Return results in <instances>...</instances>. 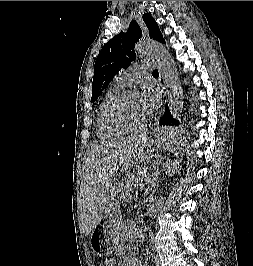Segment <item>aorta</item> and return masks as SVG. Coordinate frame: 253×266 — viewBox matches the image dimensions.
<instances>
[{"label":"aorta","mask_w":253,"mask_h":266,"mask_svg":"<svg viewBox=\"0 0 253 266\" xmlns=\"http://www.w3.org/2000/svg\"><path fill=\"white\" fill-rule=\"evenodd\" d=\"M135 50L140 55H150L158 62L159 74L169 88L168 102L171 115L179 119L183 110V90L175 63L172 61L167 49L155 41H139Z\"/></svg>","instance_id":"762f6f07"}]
</instances>
